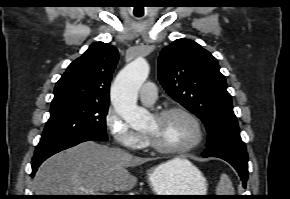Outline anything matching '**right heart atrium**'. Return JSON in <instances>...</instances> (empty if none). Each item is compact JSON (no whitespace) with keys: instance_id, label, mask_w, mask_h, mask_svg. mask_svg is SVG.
<instances>
[{"instance_id":"d8ad5b80","label":"right heart atrium","mask_w":290,"mask_h":199,"mask_svg":"<svg viewBox=\"0 0 290 199\" xmlns=\"http://www.w3.org/2000/svg\"><path fill=\"white\" fill-rule=\"evenodd\" d=\"M106 126L116 143L130 150L142 148L146 138L130 127L126 120L113 108L105 116Z\"/></svg>"}]
</instances>
